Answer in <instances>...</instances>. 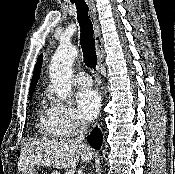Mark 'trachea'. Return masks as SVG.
I'll return each instance as SVG.
<instances>
[{
	"label": "trachea",
	"instance_id": "3493384b",
	"mask_svg": "<svg viewBox=\"0 0 175 174\" xmlns=\"http://www.w3.org/2000/svg\"><path fill=\"white\" fill-rule=\"evenodd\" d=\"M72 1V0H71ZM76 4L78 23L80 26V41L85 64L91 69H96L97 55L94 42L93 24L88 16V6L83 0H73Z\"/></svg>",
	"mask_w": 175,
	"mask_h": 174
}]
</instances>
